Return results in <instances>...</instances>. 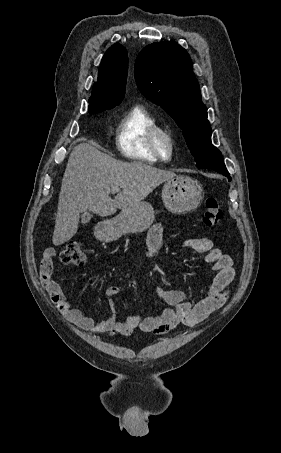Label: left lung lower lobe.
<instances>
[{
    "label": "left lung lower lobe",
    "mask_w": 281,
    "mask_h": 453,
    "mask_svg": "<svg viewBox=\"0 0 281 453\" xmlns=\"http://www.w3.org/2000/svg\"><path fill=\"white\" fill-rule=\"evenodd\" d=\"M217 172L220 173V174H222V175H224V176H226V177H228V179L231 180L230 174H229V172L227 171V169H226V170H219V171H217Z\"/></svg>",
    "instance_id": "1"
}]
</instances>
